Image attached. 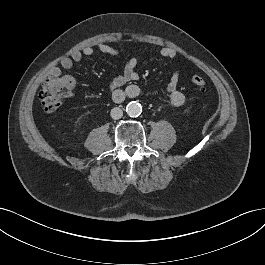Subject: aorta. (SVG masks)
Segmentation results:
<instances>
[{
  "mask_svg": "<svg viewBox=\"0 0 265 265\" xmlns=\"http://www.w3.org/2000/svg\"><path fill=\"white\" fill-rule=\"evenodd\" d=\"M126 113L130 117H138L142 113V106L136 101H131L126 106Z\"/></svg>",
  "mask_w": 265,
  "mask_h": 265,
  "instance_id": "aorta-1",
  "label": "aorta"
}]
</instances>
